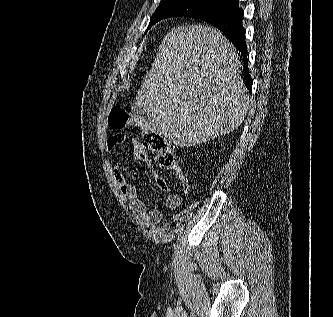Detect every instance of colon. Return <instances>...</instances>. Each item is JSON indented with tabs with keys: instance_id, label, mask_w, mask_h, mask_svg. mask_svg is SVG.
Here are the masks:
<instances>
[{
	"instance_id": "5ec220e1",
	"label": "colon",
	"mask_w": 333,
	"mask_h": 317,
	"mask_svg": "<svg viewBox=\"0 0 333 317\" xmlns=\"http://www.w3.org/2000/svg\"><path fill=\"white\" fill-rule=\"evenodd\" d=\"M109 127L114 131H122L130 127H138L143 131V146L155 155L160 167L176 172L184 187L188 186L186 174L180 169L176 161L173 147L157 131L151 129L138 115L132 114L122 107H113L108 119Z\"/></svg>"
}]
</instances>
